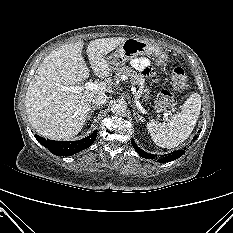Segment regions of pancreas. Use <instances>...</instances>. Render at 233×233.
<instances>
[{"label": "pancreas", "instance_id": "cf45deb5", "mask_svg": "<svg viewBox=\"0 0 233 233\" xmlns=\"http://www.w3.org/2000/svg\"><path fill=\"white\" fill-rule=\"evenodd\" d=\"M122 75H127L130 78L132 84L140 86L144 84L143 76L128 66L118 68L117 72L115 73V78L120 79Z\"/></svg>", "mask_w": 233, "mask_h": 233}]
</instances>
